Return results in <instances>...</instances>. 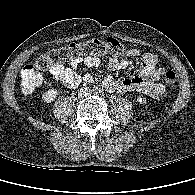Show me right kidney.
Returning <instances> with one entry per match:
<instances>
[{"instance_id":"1","label":"right kidney","mask_w":195,"mask_h":195,"mask_svg":"<svg viewBox=\"0 0 195 195\" xmlns=\"http://www.w3.org/2000/svg\"><path fill=\"white\" fill-rule=\"evenodd\" d=\"M57 94H58V91L56 89H49L47 92H45L42 95V99L45 103H51L52 101H54Z\"/></svg>"}]
</instances>
